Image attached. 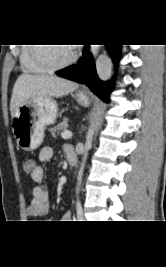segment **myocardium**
Here are the masks:
<instances>
[{
	"instance_id": "f54148a6",
	"label": "myocardium",
	"mask_w": 166,
	"mask_h": 267,
	"mask_svg": "<svg viewBox=\"0 0 166 267\" xmlns=\"http://www.w3.org/2000/svg\"><path fill=\"white\" fill-rule=\"evenodd\" d=\"M44 46L42 44H36V46H33V56L35 61L40 64L41 66L45 67L46 69L50 71H56L60 70L66 67H69L72 65L78 58L77 52H73L69 60L63 63H53L49 61L43 51Z\"/></svg>"
}]
</instances>
